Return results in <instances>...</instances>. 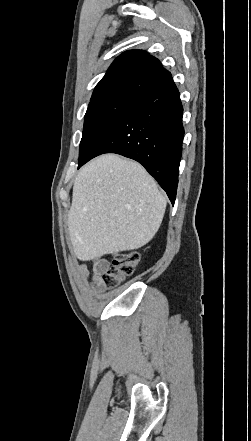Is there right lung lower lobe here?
<instances>
[{"label": "right lung lower lobe", "mask_w": 251, "mask_h": 441, "mask_svg": "<svg viewBox=\"0 0 251 441\" xmlns=\"http://www.w3.org/2000/svg\"><path fill=\"white\" fill-rule=\"evenodd\" d=\"M183 107L172 77L139 98L94 146L87 159L116 153L141 163L174 204L184 128Z\"/></svg>", "instance_id": "obj_1"}]
</instances>
